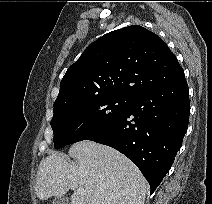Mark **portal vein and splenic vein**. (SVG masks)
I'll return each instance as SVG.
<instances>
[{"instance_id": "portal-vein-and-splenic-vein-1", "label": "portal vein and splenic vein", "mask_w": 212, "mask_h": 204, "mask_svg": "<svg viewBox=\"0 0 212 204\" xmlns=\"http://www.w3.org/2000/svg\"><path fill=\"white\" fill-rule=\"evenodd\" d=\"M84 192V188H82V187H79L78 189H77V193H83Z\"/></svg>"}]
</instances>
